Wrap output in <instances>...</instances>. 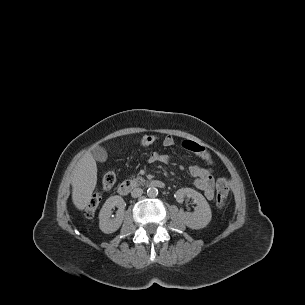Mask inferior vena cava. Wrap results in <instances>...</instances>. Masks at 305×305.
<instances>
[{"mask_svg": "<svg viewBox=\"0 0 305 305\" xmlns=\"http://www.w3.org/2000/svg\"><path fill=\"white\" fill-rule=\"evenodd\" d=\"M143 194V190L141 188H134L131 192V196L133 198L140 197Z\"/></svg>", "mask_w": 305, "mask_h": 305, "instance_id": "602c4592", "label": "inferior vena cava"}]
</instances>
